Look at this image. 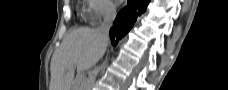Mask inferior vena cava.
<instances>
[{"instance_id": "obj_1", "label": "inferior vena cava", "mask_w": 228, "mask_h": 90, "mask_svg": "<svg viewBox=\"0 0 228 90\" xmlns=\"http://www.w3.org/2000/svg\"><path fill=\"white\" fill-rule=\"evenodd\" d=\"M115 16H116L115 7L112 5H108L104 13L103 22L97 28V33L99 34L101 39L105 41L108 40V33L115 19Z\"/></svg>"}]
</instances>
